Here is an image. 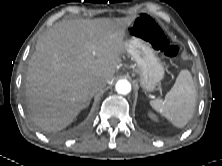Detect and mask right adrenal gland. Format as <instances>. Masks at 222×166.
I'll use <instances>...</instances> for the list:
<instances>
[{
	"label": "right adrenal gland",
	"instance_id": "obj_1",
	"mask_svg": "<svg viewBox=\"0 0 222 166\" xmlns=\"http://www.w3.org/2000/svg\"><path fill=\"white\" fill-rule=\"evenodd\" d=\"M90 100H91V98H90ZM90 100H89V103H88V105L90 104Z\"/></svg>",
	"mask_w": 222,
	"mask_h": 166
}]
</instances>
